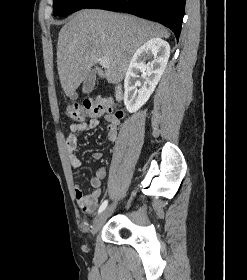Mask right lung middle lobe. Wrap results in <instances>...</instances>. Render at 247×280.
<instances>
[{"instance_id":"right-lung-middle-lobe-1","label":"right lung middle lobe","mask_w":247,"mask_h":280,"mask_svg":"<svg viewBox=\"0 0 247 280\" xmlns=\"http://www.w3.org/2000/svg\"><path fill=\"white\" fill-rule=\"evenodd\" d=\"M97 0H54V16H66L78 10L88 8Z\"/></svg>"}]
</instances>
